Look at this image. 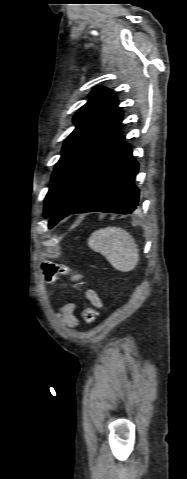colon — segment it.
<instances>
[{"label": "colon", "instance_id": "obj_1", "mask_svg": "<svg viewBox=\"0 0 187 479\" xmlns=\"http://www.w3.org/2000/svg\"><path fill=\"white\" fill-rule=\"evenodd\" d=\"M42 272L45 277L46 282L51 283L54 282L58 277L65 275L69 272L68 267L54 262H46L42 265ZM83 321L90 325L94 323L97 311L90 306H86L83 309Z\"/></svg>", "mask_w": 187, "mask_h": 479}]
</instances>
